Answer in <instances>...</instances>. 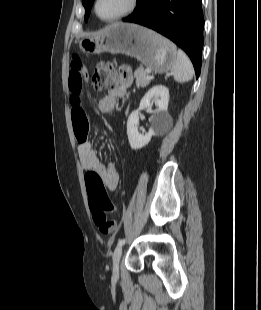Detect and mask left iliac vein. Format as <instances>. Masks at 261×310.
<instances>
[{"label": "left iliac vein", "mask_w": 261, "mask_h": 310, "mask_svg": "<svg viewBox=\"0 0 261 310\" xmlns=\"http://www.w3.org/2000/svg\"><path fill=\"white\" fill-rule=\"evenodd\" d=\"M123 245H118L113 254V277L118 278L119 276V262L122 255Z\"/></svg>", "instance_id": "obj_1"}]
</instances>
